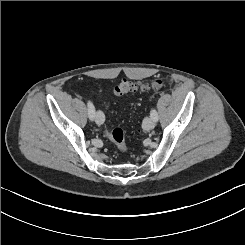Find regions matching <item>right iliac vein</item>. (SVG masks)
Returning <instances> with one entry per match:
<instances>
[{"label": "right iliac vein", "mask_w": 245, "mask_h": 245, "mask_svg": "<svg viewBox=\"0 0 245 245\" xmlns=\"http://www.w3.org/2000/svg\"><path fill=\"white\" fill-rule=\"evenodd\" d=\"M104 120H105L104 114L101 111H97L95 116L96 124L101 125L104 123Z\"/></svg>", "instance_id": "obj_1"}]
</instances>
